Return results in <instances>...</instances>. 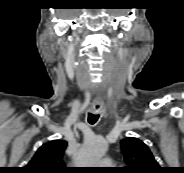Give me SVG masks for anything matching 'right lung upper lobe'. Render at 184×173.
Masks as SVG:
<instances>
[{"label": "right lung upper lobe", "mask_w": 184, "mask_h": 173, "mask_svg": "<svg viewBox=\"0 0 184 173\" xmlns=\"http://www.w3.org/2000/svg\"><path fill=\"white\" fill-rule=\"evenodd\" d=\"M67 142L53 140L43 144L31 161L22 168L23 173H67L64 164V151Z\"/></svg>", "instance_id": "obj_1"}]
</instances>
